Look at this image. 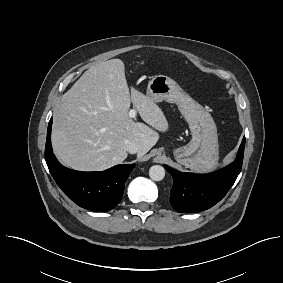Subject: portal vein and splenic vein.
Returning <instances> with one entry per match:
<instances>
[{"instance_id":"obj_1","label":"portal vein and splenic vein","mask_w":283,"mask_h":283,"mask_svg":"<svg viewBox=\"0 0 283 283\" xmlns=\"http://www.w3.org/2000/svg\"><path fill=\"white\" fill-rule=\"evenodd\" d=\"M135 116H136V110L131 109L130 112H129V117L132 119V118H135Z\"/></svg>"}]
</instances>
